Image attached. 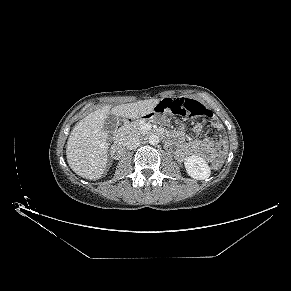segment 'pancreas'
Masks as SVG:
<instances>
[{"mask_svg": "<svg viewBox=\"0 0 291 291\" xmlns=\"http://www.w3.org/2000/svg\"><path fill=\"white\" fill-rule=\"evenodd\" d=\"M142 133L141 124L139 122H133L122 126L119 130V136L123 139H127L130 136Z\"/></svg>", "mask_w": 291, "mask_h": 291, "instance_id": "cf45deb5", "label": "pancreas"}]
</instances>
